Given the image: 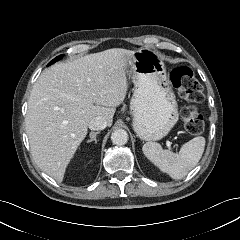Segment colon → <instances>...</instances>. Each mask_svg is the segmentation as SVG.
<instances>
[{
	"instance_id": "obj_1",
	"label": "colon",
	"mask_w": 240,
	"mask_h": 240,
	"mask_svg": "<svg viewBox=\"0 0 240 240\" xmlns=\"http://www.w3.org/2000/svg\"><path fill=\"white\" fill-rule=\"evenodd\" d=\"M170 80L177 89L180 98L189 102L182 110V119L187 132L198 135L204 129V118L198 111L196 104L204 100L203 87L186 66H179L170 73Z\"/></svg>"
}]
</instances>
